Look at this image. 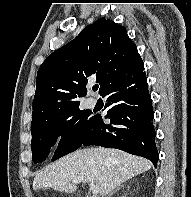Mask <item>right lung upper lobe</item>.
<instances>
[{"instance_id":"right-lung-upper-lobe-1","label":"right lung upper lobe","mask_w":191,"mask_h":197,"mask_svg":"<svg viewBox=\"0 0 191 197\" xmlns=\"http://www.w3.org/2000/svg\"><path fill=\"white\" fill-rule=\"evenodd\" d=\"M143 61L126 28L101 18L54 51L41 64L36 79L31 128L78 106L92 77L100 93L111 83L133 73Z\"/></svg>"}]
</instances>
